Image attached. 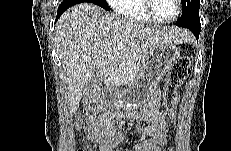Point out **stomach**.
<instances>
[{
	"instance_id": "obj_1",
	"label": "stomach",
	"mask_w": 231,
	"mask_h": 151,
	"mask_svg": "<svg viewBox=\"0 0 231 151\" xmlns=\"http://www.w3.org/2000/svg\"><path fill=\"white\" fill-rule=\"evenodd\" d=\"M179 58L180 50L173 43L154 48L139 62L138 75L126 89L119 91L110 87L105 90L108 101L126 110L141 107Z\"/></svg>"
}]
</instances>
